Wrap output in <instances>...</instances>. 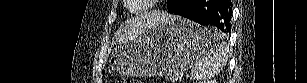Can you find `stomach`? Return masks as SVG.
I'll return each instance as SVG.
<instances>
[{
	"instance_id": "obj_1",
	"label": "stomach",
	"mask_w": 307,
	"mask_h": 83,
	"mask_svg": "<svg viewBox=\"0 0 307 83\" xmlns=\"http://www.w3.org/2000/svg\"><path fill=\"white\" fill-rule=\"evenodd\" d=\"M207 28L179 16L153 25L111 52L112 69L131 76H170L208 56L213 42Z\"/></svg>"
}]
</instances>
